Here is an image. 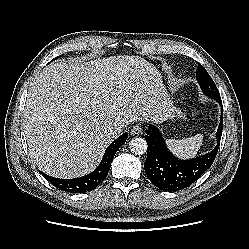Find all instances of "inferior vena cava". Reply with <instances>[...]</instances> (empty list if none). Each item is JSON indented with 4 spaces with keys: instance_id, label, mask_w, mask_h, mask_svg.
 I'll use <instances>...</instances> for the list:
<instances>
[{
    "instance_id": "obj_1",
    "label": "inferior vena cava",
    "mask_w": 249,
    "mask_h": 249,
    "mask_svg": "<svg viewBox=\"0 0 249 249\" xmlns=\"http://www.w3.org/2000/svg\"><path fill=\"white\" fill-rule=\"evenodd\" d=\"M126 125H117L113 128L112 130V134L113 136H119L120 134H122L124 132V130L126 129Z\"/></svg>"
}]
</instances>
